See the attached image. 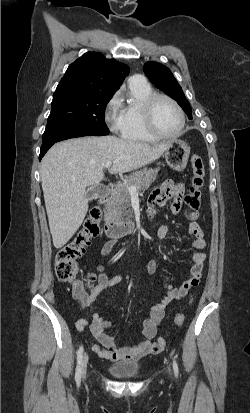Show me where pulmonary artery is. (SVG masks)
<instances>
[{
    "mask_svg": "<svg viewBox=\"0 0 250 413\" xmlns=\"http://www.w3.org/2000/svg\"><path fill=\"white\" fill-rule=\"evenodd\" d=\"M142 81H145V80L140 75H134L130 78V82H142Z\"/></svg>",
    "mask_w": 250,
    "mask_h": 413,
    "instance_id": "obj_1",
    "label": "pulmonary artery"
}]
</instances>
